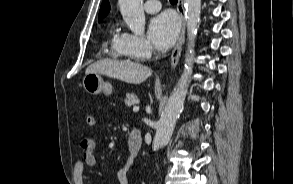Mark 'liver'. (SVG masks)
I'll list each match as a JSON object with an SVG mask.
<instances>
[{
    "label": "liver",
    "mask_w": 293,
    "mask_h": 184,
    "mask_svg": "<svg viewBox=\"0 0 293 184\" xmlns=\"http://www.w3.org/2000/svg\"><path fill=\"white\" fill-rule=\"evenodd\" d=\"M85 73H99L127 83L140 84L152 75V70L132 61L102 59L89 65Z\"/></svg>",
    "instance_id": "1"
}]
</instances>
